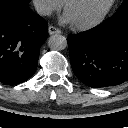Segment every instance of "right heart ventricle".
<instances>
[{"label": "right heart ventricle", "mask_w": 128, "mask_h": 128, "mask_svg": "<svg viewBox=\"0 0 128 128\" xmlns=\"http://www.w3.org/2000/svg\"><path fill=\"white\" fill-rule=\"evenodd\" d=\"M62 2H65L66 0H61Z\"/></svg>", "instance_id": "e07e8e85"}]
</instances>
